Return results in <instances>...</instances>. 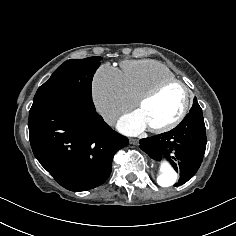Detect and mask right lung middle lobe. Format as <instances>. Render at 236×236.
Here are the masks:
<instances>
[{"instance_id":"obj_1","label":"right lung middle lobe","mask_w":236,"mask_h":236,"mask_svg":"<svg viewBox=\"0 0 236 236\" xmlns=\"http://www.w3.org/2000/svg\"><path fill=\"white\" fill-rule=\"evenodd\" d=\"M101 57L70 59L41 85L29 113L70 102H92L91 84Z\"/></svg>"}]
</instances>
